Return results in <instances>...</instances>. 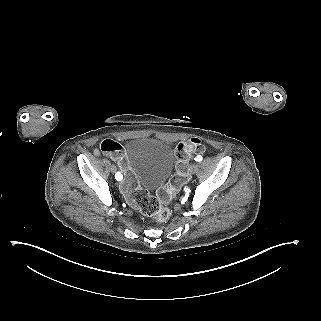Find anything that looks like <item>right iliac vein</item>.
I'll return each mask as SVG.
<instances>
[{"label":"right iliac vein","instance_id":"obj_1","mask_svg":"<svg viewBox=\"0 0 321 321\" xmlns=\"http://www.w3.org/2000/svg\"><path fill=\"white\" fill-rule=\"evenodd\" d=\"M110 169H111V172H112V173H115V172H116V167H115V166L112 165Z\"/></svg>","mask_w":321,"mask_h":321}]
</instances>
